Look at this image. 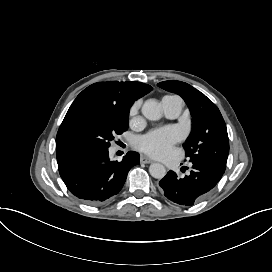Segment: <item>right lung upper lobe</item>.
<instances>
[{
    "mask_svg": "<svg viewBox=\"0 0 272 272\" xmlns=\"http://www.w3.org/2000/svg\"><path fill=\"white\" fill-rule=\"evenodd\" d=\"M151 90L150 85L135 81L94 83L76 97L66 116L77 107L85 104L111 107L121 112H129L133 102Z\"/></svg>",
    "mask_w": 272,
    "mask_h": 272,
    "instance_id": "obj_1",
    "label": "right lung upper lobe"
}]
</instances>
